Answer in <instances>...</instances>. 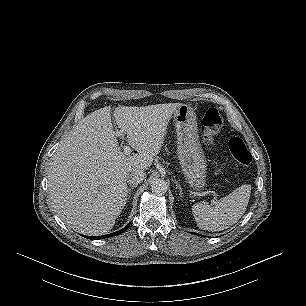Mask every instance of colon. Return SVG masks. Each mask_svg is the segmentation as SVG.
<instances>
[{
    "label": "colon",
    "mask_w": 306,
    "mask_h": 306,
    "mask_svg": "<svg viewBox=\"0 0 306 306\" xmlns=\"http://www.w3.org/2000/svg\"><path fill=\"white\" fill-rule=\"evenodd\" d=\"M223 118L215 108H209L202 118V139L206 144L212 143L223 128ZM231 156L242 166L251 162V154L240 137H232L228 143Z\"/></svg>",
    "instance_id": "obj_1"
}]
</instances>
